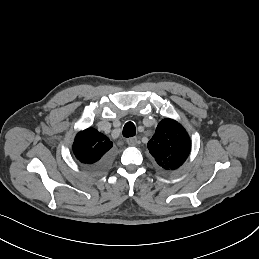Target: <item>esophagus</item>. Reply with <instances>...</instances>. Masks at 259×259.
<instances>
[{"label":"esophagus","instance_id":"esophagus-1","mask_svg":"<svg viewBox=\"0 0 259 259\" xmlns=\"http://www.w3.org/2000/svg\"><path fill=\"white\" fill-rule=\"evenodd\" d=\"M127 144L129 146H135L137 144V138L136 137L128 138L127 139Z\"/></svg>","mask_w":259,"mask_h":259}]
</instances>
